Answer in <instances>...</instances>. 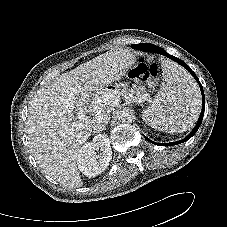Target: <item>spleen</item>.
I'll list each match as a JSON object with an SVG mask.
<instances>
[{
	"label": "spleen",
	"mask_w": 227,
	"mask_h": 227,
	"mask_svg": "<svg viewBox=\"0 0 227 227\" xmlns=\"http://www.w3.org/2000/svg\"><path fill=\"white\" fill-rule=\"evenodd\" d=\"M163 81L151 106L142 118L152 127L165 132H184L197 120L201 98L191 76L175 63H162Z\"/></svg>",
	"instance_id": "3e777b00"
}]
</instances>
